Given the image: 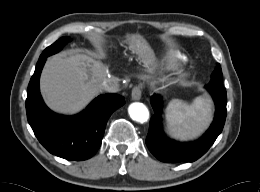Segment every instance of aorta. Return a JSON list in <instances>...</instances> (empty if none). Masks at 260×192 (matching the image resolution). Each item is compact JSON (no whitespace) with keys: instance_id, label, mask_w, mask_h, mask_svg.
Instances as JSON below:
<instances>
[{"instance_id":"aorta-1","label":"aorta","mask_w":260,"mask_h":192,"mask_svg":"<svg viewBox=\"0 0 260 192\" xmlns=\"http://www.w3.org/2000/svg\"><path fill=\"white\" fill-rule=\"evenodd\" d=\"M130 117L139 123H144L149 118V111L143 103L134 102L128 108Z\"/></svg>"}]
</instances>
